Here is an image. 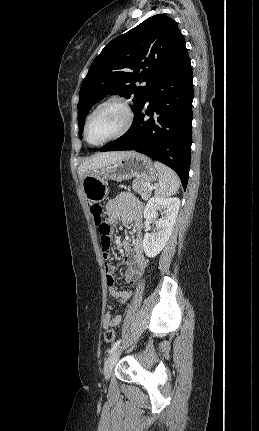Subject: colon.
<instances>
[{
	"mask_svg": "<svg viewBox=\"0 0 259 431\" xmlns=\"http://www.w3.org/2000/svg\"><path fill=\"white\" fill-rule=\"evenodd\" d=\"M90 212L98 229L103 255L105 258H108L111 254V226L105 221L103 209L100 205H92ZM104 339L107 343H112L115 339V331L112 328L106 329Z\"/></svg>",
	"mask_w": 259,
	"mask_h": 431,
	"instance_id": "5ec220e1",
	"label": "colon"
}]
</instances>
